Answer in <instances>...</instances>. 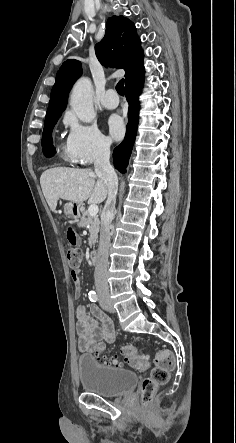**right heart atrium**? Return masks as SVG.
Wrapping results in <instances>:
<instances>
[{"instance_id":"obj_1","label":"right heart atrium","mask_w":236,"mask_h":443,"mask_svg":"<svg viewBox=\"0 0 236 443\" xmlns=\"http://www.w3.org/2000/svg\"><path fill=\"white\" fill-rule=\"evenodd\" d=\"M64 122L69 128L65 142L66 158L76 164L90 165L108 151V140L91 125L78 121L72 112H67Z\"/></svg>"}]
</instances>
